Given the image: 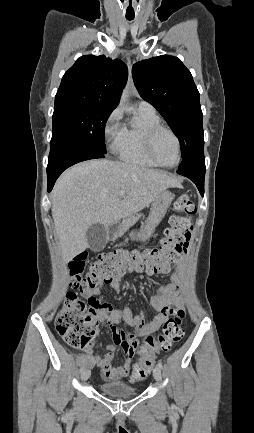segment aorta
<instances>
[{
	"label": "aorta",
	"instance_id": "1",
	"mask_svg": "<svg viewBox=\"0 0 254 433\" xmlns=\"http://www.w3.org/2000/svg\"><path fill=\"white\" fill-rule=\"evenodd\" d=\"M128 97H129V95H128V90L125 89V90L123 91L122 96H121V99H120V105H121V106L126 107L127 102H128Z\"/></svg>",
	"mask_w": 254,
	"mask_h": 433
}]
</instances>
